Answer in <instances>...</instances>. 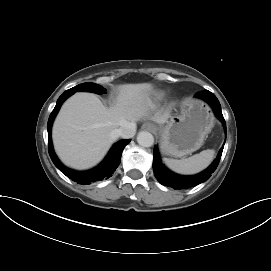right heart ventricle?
Returning <instances> with one entry per match:
<instances>
[{"label":"right heart ventricle","instance_id":"right-heart-ventricle-1","mask_svg":"<svg viewBox=\"0 0 271 271\" xmlns=\"http://www.w3.org/2000/svg\"><path fill=\"white\" fill-rule=\"evenodd\" d=\"M162 96H163V93H157V94L155 95L156 98H160V97H162Z\"/></svg>","mask_w":271,"mask_h":271}]
</instances>
